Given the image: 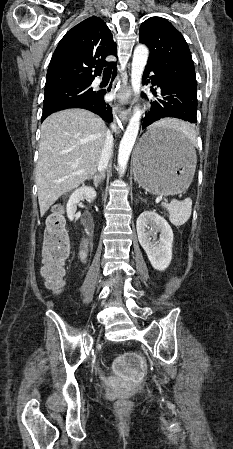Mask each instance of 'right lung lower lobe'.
Masks as SVG:
<instances>
[{"label":"right lung lower lobe","instance_id":"98d812e1","mask_svg":"<svg viewBox=\"0 0 233 449\" xmlns=\"http://www.w3.org/2000/svg\"><path fill=\"white\" fill-rule=\"evenodd\" d=\"M112 68L114 69V76H115L116 75V63L112 66ZM109 90H110V88H108V91ZM105 93L106 92H97L96 95L94 97H92L91 99L70 102V103L64 104L62 106L56 107L52 110L43 111L41 122L44 121L45 118H47L50 114H52L56 111L69 109V108H82V109L90 110V111L98 114L103 119L110 122L113 120L112 110H111V107L104 102Z\"/></svg>","mask_w":233,"mask_h":449}]
</instances>
